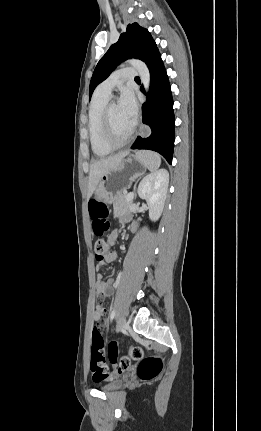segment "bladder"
I'll use <instances>...</instances> for the list:
<instances>
[{
	"label": "bladder",
	"mask_w": 261,
	"mask_h": 431,
	"mask_svg": "<svg viewBox=\"0 0 261 431\" xmlns=\"http://www.w3.org/2000/svg\"><path fill=\"white\" fill-rule=\"evenodd\" d=\"M123 378L122 377H114L106 382H104L101 386L100 389L105 391V392H109L112 390H116L118 388H120L123 384Z\"/></svg>",
	"instance_id": "1"
}]
</instances>
